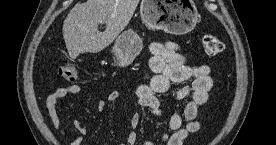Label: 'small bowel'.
I'll return each instance as SVG.
<instances>
[{"label": "small bowel", "mask_w": 276, "mask_h": 145, "mask_svg": "<svg viewBox=\"0 0 276 145\" xmlns=\"http://www.w3.org/2000/svg\"><path fill=\"white\" fill-rule=\"evenodd\" d=\"M150 58L148 61L151 76H147V82L139 85L135 90L134 106L137 109H147L156 118L166 117L168 132L163 134L161 140L166 145H183L185 139L200 129L198 121L199 108L204 105L213 88V79L210 75L211 69L206 64L188 65L181 48L174 42H153L149 45ZM191 81L189 85H183L174 90L173 96L176 100L189 99L180 109L166 111L164 103L165 95L174 83ZM80 92L77 85H67L49 94L44 106L50 118L54 130L66 133L58 113V101L67 96ZM121 97L118 90L111 91L106 101L100 100L97 107L100 111L106 108L107 102H115ZM142 119V114L137 111L130 119L132 130L128 133L126 141L120 145H136L137 132ZM77 131L71 145H81L83 137L88 134V128L79 119L73 121ZM144 145H153V142L146 141Z\"/></svg>", "instance_id": "small-bowel-1"}]
</instances>
